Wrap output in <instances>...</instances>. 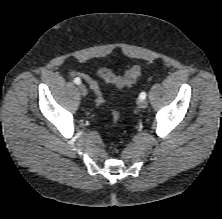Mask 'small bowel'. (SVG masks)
<instances>
[{
    "label": "small bowel",
    "instance_id": "c3829d8e",
    "mask_svg": "<svg viewBox=\"0 0 222 219\" xmlns=\"http://www.w3.org/2000/svg\"><path fill=\"white\" fill-rule=\"evenodd\" d=\"M76 74L80 75L89 84V86L91 83L97 84V82L89 75L81 74V73H76Z\"/></svg>",
    "mask_w": 222,
    "mask_h": 219
}]
</instances>
